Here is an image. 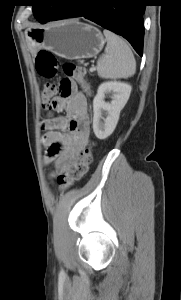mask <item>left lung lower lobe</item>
<instances>
[{
  "label": "left lung lower lobe",
  "instance_id": "0a47b994",
  "mask_svg": "<svg viewBox=\"0 0 181 300\" xmlns=\"http://www.w3.org/2000/svg\"><path fill=\"white\" fill-rule=\"evenodd\" d=\"M144 12L145 5L142 0H74V3L57 9L47 22L64 18L85 17L123 36L142 56Z\"/></svg>",
  "mask_w": 181,
  "mask_h": 300
}]
</instances>
